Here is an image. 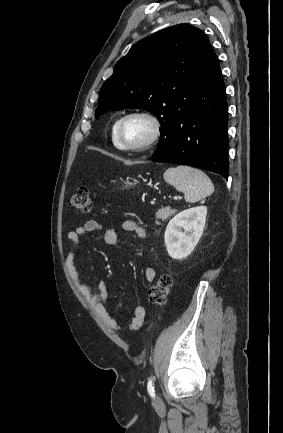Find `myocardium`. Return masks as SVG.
<instances>
[{
  "label": "myocardium",
  "mask_w": 283,
  "mask_h": 433,
  "mask_svg": "<svg viewBox=\"0 0 283 433\" xmlns=\"http://www.w3.org/2000/svg\"><path fill=\"white\" fill-rule=\"evenodd\" d=\"M132 117H143L146 118L152 125L151 135L143 142L138 144H124L121 140V130L123 124ZM163 133V123L161 118L155 113L144 110H132L124 114L118 121V124L115 128L114 137L117 146L124 151H133V152H145L152 149L161 139Z\"/></svg>",
  "instance_id": "myocardium-1"
}]
</instances>
